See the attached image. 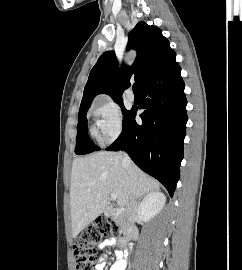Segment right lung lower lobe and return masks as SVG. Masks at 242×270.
Returning a JSON list of instances; mask_svg holds the SVG:
<instances>
[{
    "mask_svg": "<svg viewBox=\"0 0 242 270\" xmlns=\"http://www.w3.org/2000/svg\"><path fill=\"white\" fill-rule=\"evenodd\" d=\"M181 68L174 60L151 77L141 88L139 109L142 124L132 109L119 138L107 151L125 150L144 172L158 179L173 195L183 159L186 134V104Z\"/></svg>",
    "mask_w": 242,
    "mask_h": 270,
    "instance_id": "right-lung-lower-lobe-1",
    "label": "right lung lower lobe"
}]
</instances>
